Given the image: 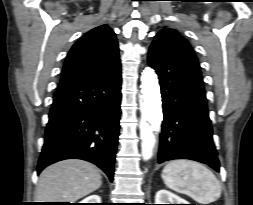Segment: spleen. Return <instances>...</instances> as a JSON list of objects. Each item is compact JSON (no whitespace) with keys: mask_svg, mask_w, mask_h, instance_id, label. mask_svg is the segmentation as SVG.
<instances>
[{"mask_svg":"<svg viewBox=\"0 0 253 205\" xmlns=\"http://www.w3.org/2000/svg\"><path fill=\"white\" fill-rule=\"evenodd\" d=\"M170 189L186 194L199 204H209L221 196V185L211 170L191 160H174L162 171Z\"/></svg>","mask_w":253,"mask_h":205,"instance_id":"3e777b00","label":"spleen"}]
</instances>
